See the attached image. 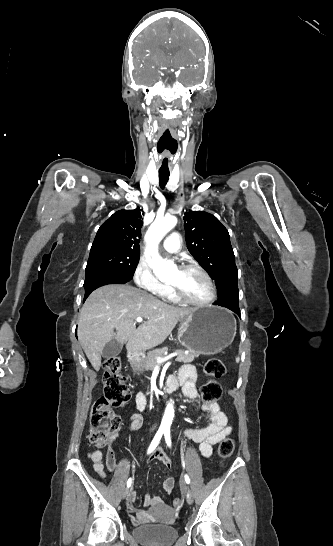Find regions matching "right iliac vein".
<instances>
[{"instance_id":"63e3f726","label":"right iliac vein","mask_w":333,"mask_h":546,"mask_svg":"<svg viewBox=\"0 0 333 546\" xmlns=\"http://www.w3.org/2000/svg\"><path fill=\"white\" fill-rule=\"evenodd\" d=\"M128 493H129V489H128V488H125L124 491H123V493H122V498H123V499L126 498V496L128 495Z\"/></svg>"}]
</instances>
